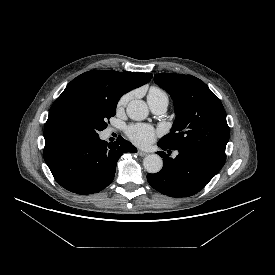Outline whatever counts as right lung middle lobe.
I'll return each instance as SVG.
<instances>
[{"mask_svg": "<svg viewBox=\"0 0 275 275\" xmlns=\"http://www.w3.org/2000/svg\"><path fill=\"white\" fill-rule=\"evenodd\" d=\"M118 99L84 94L64 102L51 120V130L57 136L96 137L107 127L106 121L115 115Z\"/></svg>", "mask_w": 275, "mask_h": 275, "instance_id": "1", "label": "right lung middle lobe"}]
</instances>
